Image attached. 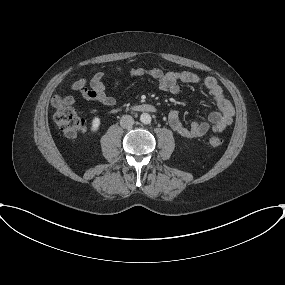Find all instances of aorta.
Wrapping results in <instances>:
<instances>
[{
  "instance_id": "762f6f07",
  "label": "aorta",
  "mask_w": 285,
  "mask_h": 285,
  "mask_svg": "<svg viewBox=\"0 0 285 285\" xmlns=\"http://www.w3.org/2000/svg\"><path fill=\"white\" fill-rule=\"evenodd\" d=\"M140 121L144 124H149L151 122V116L148 113H142L140 116Z\"/></svg>"
}]
</instances>
